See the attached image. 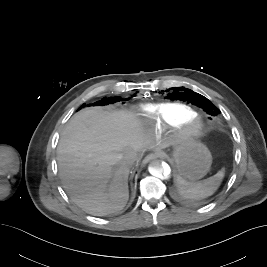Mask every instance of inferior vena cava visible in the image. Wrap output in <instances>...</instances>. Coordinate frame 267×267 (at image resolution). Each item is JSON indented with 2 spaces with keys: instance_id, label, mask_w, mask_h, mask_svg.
<instances>
[{
  "instance_id": "602c4592",
  "label": "inferior vena cava",
  "mask_w": 267,
  "mask_h": 267,
  "mask_svg": "<svg viewBox=\"0 0 267 267\" xmlns=\"http://www.w3.org/2000/svg\"><path fill=\"white\" fill-rule=\"evenodd\" d=\"M137 160H138V155L135 153H129V154L125 155V157H124V163L128 167H132Z\"/></svg>"
}]
</instances>
